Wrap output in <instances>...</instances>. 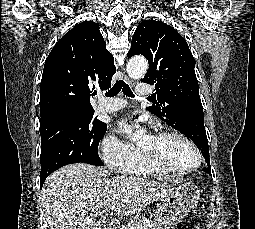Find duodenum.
I'll return each instance as SVG.
<instances>
[{
  "mask_svg": "<svg viewBox=\"0 0 255 229\" xmlns=\"http://www.w3.org/2000/svg\"><path fill=\"white\" fill-rule=\"evenodd\" d=\"M109 229H120L117 225H111Z\"/></svg>",
  "mask_w": 255,
  "mask_h": 229,
  "instance_id": "obj_1",
  "label": "duodenum"
}]
</instances>
